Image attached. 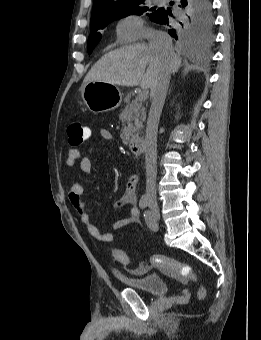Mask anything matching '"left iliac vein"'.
<instances>
[{"label": "left iliac vein", "mask_w": 261, "mask_h": 340, "mask_svg": "<svg viewBox=\"0 0 261 340\" xmlns=\"http://www.w3.org/2000/svg\"><path fill=\"white\" fill-rule=\"evenodd\" d=\"M152 218H153V227H152V229L153 230H157L158 229V221L160 219V214H159L158 208H156V207L152 210Z\"/></svg>", "instance_id": "left-iliac-vein-1"}]
</instances>
